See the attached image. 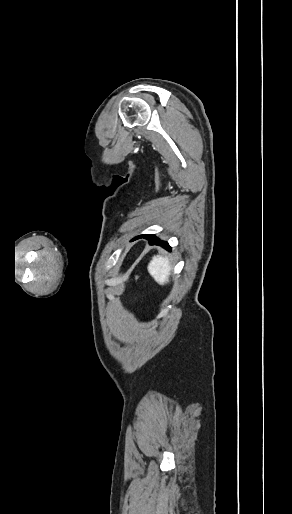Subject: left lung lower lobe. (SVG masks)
Here are the masks:
<instances>
[{
	"instance_id": "obj_1",
	"label": "left lung lower lobe",
	"mask_w": 292,
	"mask_h": 514,
	"mask_svg": "<svg viewBox=\"0 0 292 514\" xmlns=\"http://www.w3.org/2000/svg\"><path fill=\"white\" fill-rule=\"evenodd\" d=\"M139 238L147 239L149 241L150 245H160V246H162L163 248H165L167 250H171V247L169 246V244L166 241L160 240L155 235H149V234L141 235V236H138V237L134 238L133 240L139 239Z\"/></svg>"
}]
</instances>
